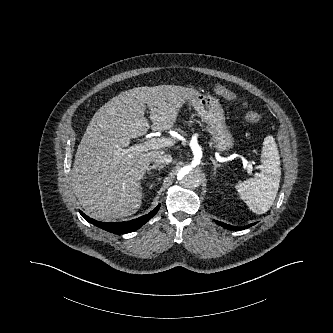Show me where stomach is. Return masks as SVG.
Returning <instances> with one entry per match:
<instances>
[{"mask_svg":"<svg viewBox=\"0 0 333 333\" xmlns=\"http://www.w3.org/2000/svg\"><path fill=\"white\" fill-rule=\"evenodd\" d=\"M212 136L214 147L219 151H226L233 147L234 139L225 123L224 111L216 97L197 93L189 101Z\"/></svg>","mask_w":333,"mask_h":333,"instance_id":"obj_1","label":"stomach"}]
</instances>
